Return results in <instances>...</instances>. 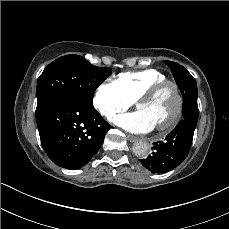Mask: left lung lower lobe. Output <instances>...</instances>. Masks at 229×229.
<instances>
[{
    "label": "left lung lower lobe",
    "instance_id": "0a47b994",
    "mask_svg": "<svg viewBox=\"0 0 229 229\" xmlns=\"http://www.w3.org/2000/svg\"><path fill=\"white\" fill-rule=\"evenodd\" d=\"M198 92L183 95L182 114L185 119L168 134L164 141L155 142L154 152L141 163L152 173L168 172L180 165L187 157L198 120Z\"/></svg>",
    "mask_w": 229,
    "mask_h": 229
}]
</instances>
